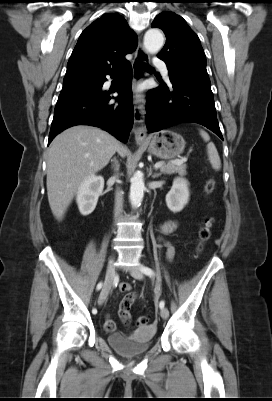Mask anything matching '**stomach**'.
<instances>
[{
  "mask_svg": "<svg viewBox=\"0 0 272 401\" xmlns=\"http://www.w3.org/2000/svg\"><path fill=\"white\" fill-rule=\"evenodd\" d=\"M185 144L180 134L166 129L150 137L148 151L161 159H173L184 151Z\"/></svg>",
  "mask_w": 272,
  "mask_h": 401,
  "instance_id": "0dacf381",
  "label": "stomach"
}]
</instances>
